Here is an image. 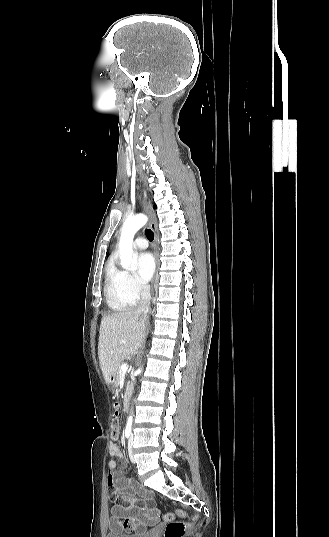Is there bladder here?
<instances>
[{"mask_svg":"<svg viewBox=\"0 0 329 537\" xmlns=\"http://www.w3.org/2000/svg\"><path fill=\"white\" fill-rule=\"evenodd\" d=\"M106 537H153L152 532H145L141 534H126L120 531H110Z\"/></svg>","mask_w":329,"mask_h":537,"instance_id":"1","label":"bladder"}]
</instances>
